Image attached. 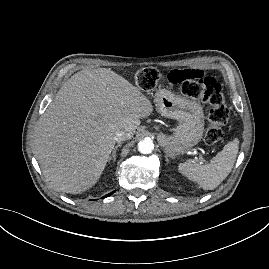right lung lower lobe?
Returning <instances> with one entry per match:
<instances>
[{
    "mask_svg": "<svg viewBox=\"0 0 269 269\" xmlns=\"http://www.w3.org/2000/svg\"><path fill=\"white\" fill-rule=\"evenodd\" d=\"M112 193H113V192H111L110 194L106 195L105 197H108V196H110V195H111ZM105 197H103V198H105Z\"/></svg>",
    "mask_w": 269,
    "mask_h": 269,
    "instance_id": "obj_1",
    "label": "right lung lower lobe"
}]
</instances>
